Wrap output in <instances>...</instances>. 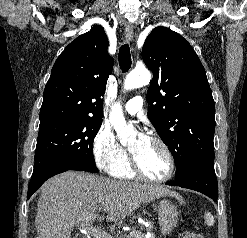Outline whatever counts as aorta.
Instances as JSON below:
<instances>
[{
  "label": "aorta",
  "mask_w": 247,
  "mask_h": 238,
  "mask_svg": "<svg viewBox=\"0 0 247 238\" xmlns=\"http://www.w3.org/2000/svg\"><path fill=\"white\" fill-rule=\"evenodd\" d=\"M150 80L151 74L146 69L133 70L126 76L124 90L143 87L149 84ZM109 120L122 145H126L135 138L136 132L133 127L127 126L120 103H117L112 107Z\"/></svg>",
  "instance_id": "1"
}]
</instances>
